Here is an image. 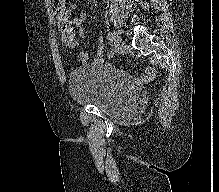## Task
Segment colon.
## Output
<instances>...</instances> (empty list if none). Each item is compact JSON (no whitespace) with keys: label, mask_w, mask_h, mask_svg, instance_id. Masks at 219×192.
<instances>
[{"label":"colon","mask_w":219,"mask_h":192,"mask_svg":"<svg viewBox=\"0 0 219 192\" xmlns=\"http://www.w3.org/2000/svg\"><path fill=\"white\" fill-rule=\"evenodd\" d=\"M65 0H53V4L56 8H62L64 5ZM58 26L60 29H66L68 26L67 21L65 20V17L59 20Z\"/></svg>","instance_id":"5ec220e1"}]
</instances>
